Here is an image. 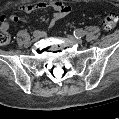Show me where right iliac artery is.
Returning <instances> with one entry per match:
<instances>
[{
	"label": "right iliac artery",
	"mask_w": 119,
	"mask_h": 119,
	"mask_svg": "<svg viewBox=\"0 0 119 119\" xmlns=\"http://www.w3.org/2000/svg\"><path fill=\"white\" fill-rule=\"evenodd\" d=\"M35 33H40V31H35L34 34H35Z\"/></svg>",
	"instance_id": "82829eb1"
}]
</instances>
